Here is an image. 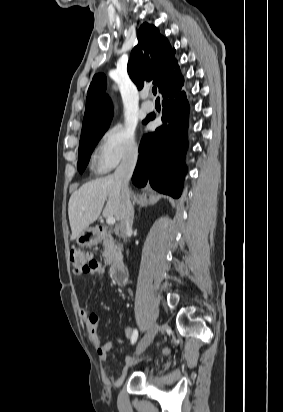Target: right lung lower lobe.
Here are the masks:
<instances>
[{
	"label": "right lung lower lobe",
	"instance_id": "98d812e1",
	"mask_svg": "<svg viewBox=\"0 0 283 412\" xmlns=\"http://www.w3.org/2000/svg\"><path fill=\"white\" fill-rule=\"evenodd\" d=\"M183 84L184 78L161 93L164 98L163 125L143 136L132 177L136 186H145L149 179L154 189L174 198H178L182 191L186 171L184 157L188 147L189 104L185 92L181 91ZM150 120L146 118L143 123Z\"/></svg>",
	"mask_w": 283,
	"mask_h": 412
}]
</instances>
